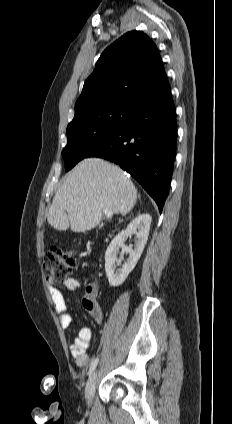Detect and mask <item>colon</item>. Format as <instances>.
Returning a JSON list of instances; mask_svg holds the SVG:
<instances>
[{"label": "colon", "mask_w": 232, "mask_h": 424, "mask_svg": "<svg viewBox=\"0 0 232 424\" xmlns=\"http://www.w3.org/2000/svg\"><path fill=\"white\" fill-rule=\"evenodd\" d=\"M43 267L47 273L46 279L49 284L62 283L75 270L76 254L74 251L50 248L44 254ZM93 311V307L90 305L89 312Z\"/></svg>", "instance_id": "5ec220e1"}]
</instances>
